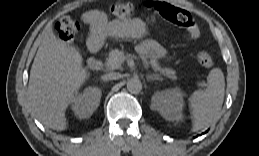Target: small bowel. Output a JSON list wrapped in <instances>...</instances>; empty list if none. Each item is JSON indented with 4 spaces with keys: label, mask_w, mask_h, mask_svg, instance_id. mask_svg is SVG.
<instances>
[{
    "label": "small bowel",
    "mask_w": 259,
    "mask_h": 156,
    "mask_svg": "<svg viewBox=\"0 0 259 156\" xmlns=\"http://www.w3.org/2000/svg\"><path fill=\"white\" fill-rule=\"evenodd\" d=\"M82 19L90 26V46L96 41L101 44L108 37H143L148 31L146 23L139 18L108 20L100 10L87 11L83 14ZM151 47L158 56L165 55L164 49L156 43H152Z\"/></svg>",
    "instance_id": "c3829d8e"
}]
</instances>
